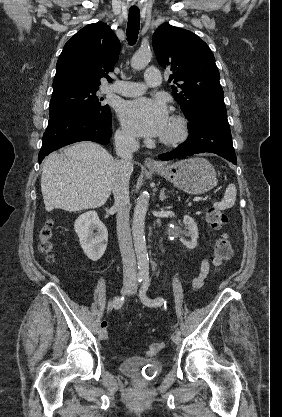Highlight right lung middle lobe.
I'll use <instances>...</instances> for the list:
<instances>
[{
  "label": "right lung middle lobe",
  "instance_id": "right-lung-middle-lobe-1",
  "mask_svg": "<svg viewBox=\"0 0 282 417\" xmlns=\"http://www.w3.org/2000/svg\"><path fill=\"white\" fill-rule=\"evenodd\" d=\"M98 88H81L52 94L49 117L72 109L95 111L96 113L109 112V106L103 105V98L96 96Z\"/></svg>",
  "mask_w": 282,
  "mask_h": 417
}]
</instances>
